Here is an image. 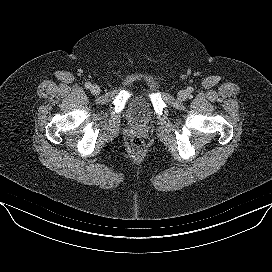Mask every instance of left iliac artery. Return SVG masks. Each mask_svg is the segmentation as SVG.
Returning <instances> with one entry per match:
<instances>
[{
	"label": "left iliac artery",
	"instance_id": "obj_1",
	"mask_svg": "<svg viewBox=\"0 0 272 272\" xmlns=\"http://www.w3.org/2000/svg\"><path fill=\"white\" fill-rule=\"evenodd\" d=\"M188 91H189V92H192V91H193V88H192V87H189V88H188Z\"/></svg>",
	"mask_w": 272,
	"mask_h": 272
}]
</instances>
